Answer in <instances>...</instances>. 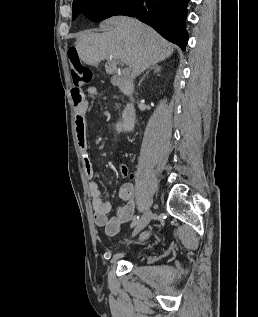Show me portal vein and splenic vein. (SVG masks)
<instances>
[{
  "mask_svg": "<svg viewBox=\"0 0 258 317\" xmlns=\"http://www.w3.org/2000/svg\"><path fill=\"white\" fill-rule=\"evenodd\" d=\"M126 72H130V68H125Z\"/></svg>",
  "mask_w": 258,
  "mask_h": 317,
  "instance_id": "1",
  "label": "portal vein and splenic vein"
}]
</instances>
